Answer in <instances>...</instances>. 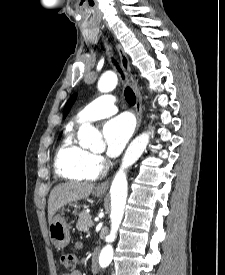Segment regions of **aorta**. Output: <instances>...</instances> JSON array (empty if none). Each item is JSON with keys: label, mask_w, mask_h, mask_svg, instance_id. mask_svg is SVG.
I'll return each instance as SVG.
<instances>
[{"label": "aorta", "mask_w": 225, "mask_h": 275, "mask_svg": "<svg viewBox=\"0 0 225 275\" xmlns=\"http://www.w3.org/2000/svg\"><path fill=\"white\" fill-rule=\"evenodd\" d=\"M118 82L117 75L108 71L104 73L98 82V90L103 93L112 91ZM78 138L80 145L90 150H95L103 144L101 134L90 124H83L78 130ZM150 139V133L144 132L137 136L127 148L122 159L121 166L116 173L110 188L111 195V230L107 239L113 242L116 238L118 228L122 222L124 209L127 200V175L126 170L132 166L143 154ZM113 258V247L107 244L101 251L99 256V265L102 268L107 267Z\"/></svg>", "instance_id": "obj_1"}]
</instances>
